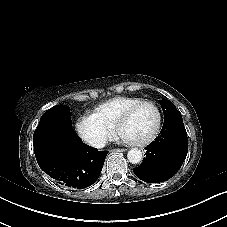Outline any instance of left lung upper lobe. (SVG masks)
<instances>
[{"label":"left lung upper lobe","instance_id":"obj_1","mask_svg":"<svg viewBox=\"0 0 227 227\" xmlns=\"http://www.w3.org/2000/svg\"><path fill=\"white\" fill-rule=\"evenodd\" d=\"M159 103L162 106V110L164 113V117H165V121H167L168 119H173V118H181L182 116L180 114V112L176 109L175 105L170 102L167 99H163V100H159Z\"/></svg>","mask_w":227,"mask_h":227}]
</instances>
